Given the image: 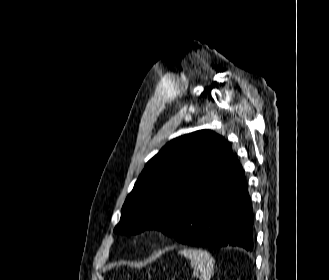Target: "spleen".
<instances>
[{"instance_id":"spleen-1","label":"spleen","mask_w":329,"mask_h":280,"mask_svg":"<svg viewBox=\"0 0 329 280\" xmlns=\"http://www.w3.org/2000/svg\"><path fill=\"white\" fill-rule=\"evenodd\" d=\"M179 254L190 259L194 271L200 272V280H210L215 263L210 253L201 249H184L179 251Z\"/></svg>"}]
</instances>
